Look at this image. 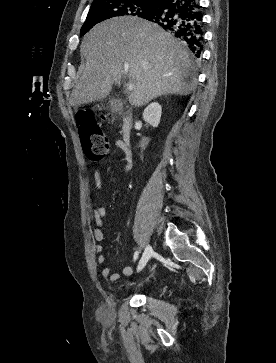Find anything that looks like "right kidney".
I'll return each instance as SVG.
<instances>
[{
    "instance_id": "right-kidney-1",
    "label": "right kidney",
    "mask_w": 276,
    "mask_h": 363,
    "mask_svg": "<svg viewBox=\"0 0 276 363\" xmlns=\"http://www.w3.org/2000/svg\"><path fill=\"white\" fill-rule=\"evenodd\" d=\"M161 113V105L157 102H153L145 108L143 112V119L152 127H158L161 119Z\"/></svg>"
}]
</instances>
